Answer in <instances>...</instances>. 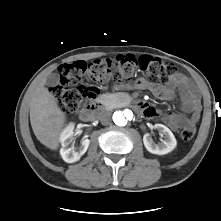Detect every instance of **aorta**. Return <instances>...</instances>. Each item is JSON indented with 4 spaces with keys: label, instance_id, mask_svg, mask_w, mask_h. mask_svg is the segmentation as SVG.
I'll return each mask as SVG.
<instances>
[{
    "label": "aorta",
    "instance_id": "obj_1",
    "mask_svg": "<svg viewBox=\"0 0 221 221\" xmlns=\"http://www.w3.org/2000/svg\"><path fill=\"white\" fill-rule=\"evenodd\" d=\"M133 119V112L130 109L117 111L113 115V121L118 126H125L126 123Z\"/></svg>",
    "mask_w": 221,
    "mask_h": 221
}]
</instances>
